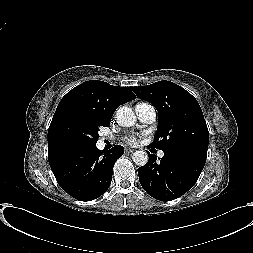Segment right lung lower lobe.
Here are the masks:
<instances>
[{
    "label": "right lung lower lobe",
    "mask_w": 253,
    "mask_h": 253,
    "mask_svg": "<svg viewBox=\"0 0 253 253\" xmlns=\"http://www.w3.org/2000/svg\"><path fill=\"white\" fill-rule=\"evenodd\" d=\"M124 148L114 145L108 151L96 145L65 148L48 153L53 174L61 188L77 200L91 201L109 188L113 166Z\"/></svg>",
    "instance_id": "98d812e1"
}]
</instances>
